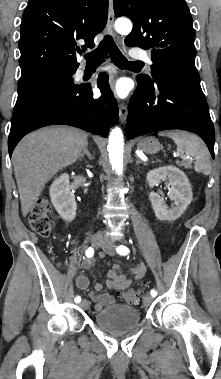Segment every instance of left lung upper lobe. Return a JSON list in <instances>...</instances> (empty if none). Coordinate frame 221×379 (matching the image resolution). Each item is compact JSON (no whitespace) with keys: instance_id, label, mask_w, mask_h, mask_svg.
Listing matches in <instances>:
<instances>
[{"instance_id":"5c2ea615","label":"left lung upper lobe","mask_w":221,"mask_h":379,"mask_svg":"<svg viewBox=\"0 0 221 379\" xmlns=\"http://www.w3.org/2000/svg\"><path fill=\"white\" fill-rule=\"evenodd\" d=\"M114 12L133 21L127 46L151 49L154 71L200 81L195 67V31L185 0H113ZM137 79L149 81L148 75Z\"/></svg>"}]
</instances>
